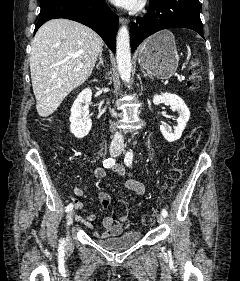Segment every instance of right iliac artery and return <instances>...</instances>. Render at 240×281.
Wrapping results in <instances>:
<instances>
[{"label":"right iliac artery","mask_w":240,"mask_h":281,"mask_svg":"<svg viewBox=\"0 0 240 281\" xmlns=\"http://www.w3.org/2000/svg\"><path fill=\"white\" fill-rule=\"evenodd\" d=\"M115 162H116V159L115 158H108V159H105L103 161V166L104 168H110L112 167L113 165H115ZM73 209V204H69L67 207H66V212H69ZM59 249L61 251H63L64 247H63V241L61 240L60 242V247Z\"/></svg>","instance_id":"right-iliac-artery-1"}]
</instances>
